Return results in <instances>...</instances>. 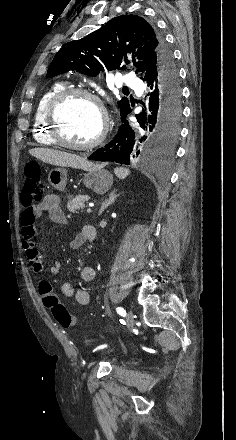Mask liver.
<instances>
[{"label":"liver","mask_w":236,"mask_h":440,"mask_svg":"<svg viewBox=\"0 0 236 440\" xmlns=\"http://www.w3.org/2000/svg\"><path fill=\"white\" fill-rule=\"evenodd\" d=\"M29 153L37 159L55 166L71 167L88 171L97 165L78 155L47 148H34Z\"/></svg>","instance_id":"obj_1"}]
</instances>
